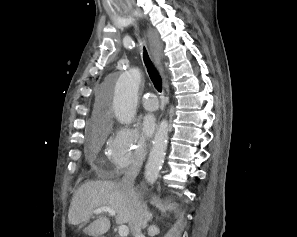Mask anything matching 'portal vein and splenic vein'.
<instances>
[{"instance_id":"1","label":"portal vein and splenic vein","mask_w":297,"mask_h":237,"mask_svg":"<svg viewBox=\"0 0 297 237\" xmlns=\"http://www.w3.org/2000/svg\"><path fill=\"white\" fill-rule=\"evenodd\" d=\"M103 212H108L111 216L116 215L115 211L107 206L100 207V208L96 209L94 211V214L97 215V214H101ZM118 233H119L120 237H127L129 234V228L126 225H121V226H119Z\"/></svg>"}]
</instances>
